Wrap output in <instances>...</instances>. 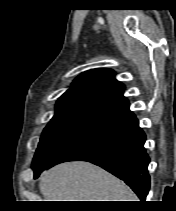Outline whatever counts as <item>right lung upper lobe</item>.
I'll return each instance as SVG.
<instances>
[{"mask_svg":"<svg viewBox=\"0 0 176 211\" xmlns=\"http://www.w3.org/2000/svg\"><path fill=\"white\" fill-rule=\"evenodd\" d=\"M125 86L111 69H93L79 75L56 103L54 117L101 123L130 112Z\"/></svg>","mask_w":176,"mask_h":211,"instance_id":"cb5924a9","label":"right lung upper lobe"}]
</instances>
